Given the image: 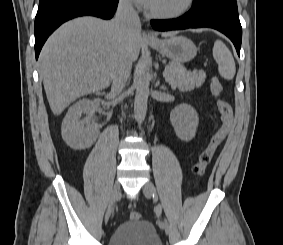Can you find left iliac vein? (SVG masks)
<instances>
[{"mask_svg":"<svg viewBox=\"0 0 283 245\" xmlns=\"http://www.w3.org/2000/svg\"><path fill=\"white\" fill-rule=\"evenodd\" d=\"M143 194L147 197V198H151L154 193H155V187L153 185L152 182L148 181L144 184L143 188H142ZM161 229L165 230L167 233L169 231V228H167L166 226H159Z\"/></svg>","mask_w":283,"mask_h":245,"instance_id":"4c4485c4","label":"left iliac vein"}]
</instances>
